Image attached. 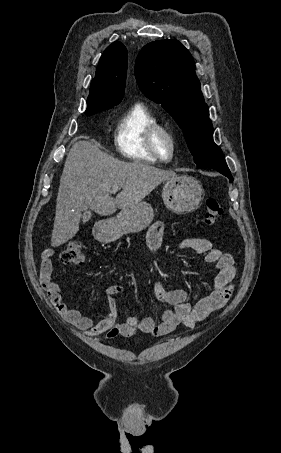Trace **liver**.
Wrapping results in <instances>:
<instances>
[{
    "label": "liver",
    "instance_id": "6515ba94",
    "mask_svg": "<svg viewBox=\"0 0 281 453\" xmlns=\"http://www.w3.org/2000/svg\"><path fill=\"white\" fill-rule=\"evenodd\" d=\"M178 176L148 162H124L100 150L89 140L70 148L60 176L51 247H60L79 231L82 210L90 208L101 216L141 202L155 186ZM112 186L122 188L113 194Z\"/></svg>",
    "mask_w": 281,
    "mask_h": 453
}]
</instances>
